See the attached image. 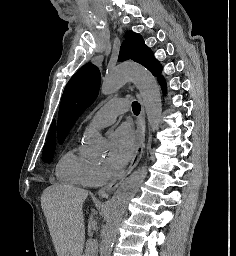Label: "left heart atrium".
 I'll return each mask as SVG.
<instances>
[{
  "instance_id": "1",
  "label": "left heart atrium",
  "mask_w": 236,
  "mask_h": 256,
  "mask_svg": "<svg viewBox=\"0 0 236 256\" xmlns=\"http://www.w3.org/2000/svg\"><path fill=\"white\" fill-rule=\"evenodd\" d=\"M135 150L133 131L122 126L109 135L107 165L112 170H119L131 159Z\"/></svg>"
}]
</instances>
